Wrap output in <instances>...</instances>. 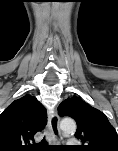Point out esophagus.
I'll use <instances>...</instances> for the list:
<instances>
[{"label":"esophagus","mask_w":118,"mask_h":151,"mask_svg":"<svg viewBox=\"0 0 118 151\" xmlns=\"http://www.w3.org/2000/svg\"><path fill=\"white\" fill-rule=\"evenodd\" d=\"M48 126H49L51 140L53 142H58V140L62 139L59 129V116L56 112H52L49 115Z\"/></svg>","instance_id":"esophagus-1"}]
</instances>
